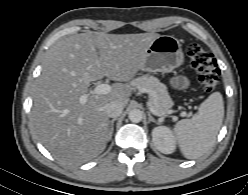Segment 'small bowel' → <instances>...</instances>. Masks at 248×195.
I'll use <instances>...</instances> for the list:
<instances>
[{"mask_svg": "<svg viewBox=\"0 0 248 195\" xmlns=\"http://www.w3.org/2000/svg\"><path fill=\"white\" fill-rule=\"evenodd\" d=\"M176 81L179 84V82L181 81V79L180 78H177Z\"/></svg>", "mask_w": 248, "mask_h": 195, "instance_id": "obj_1", "label": "small bowel"}]
</instances>
